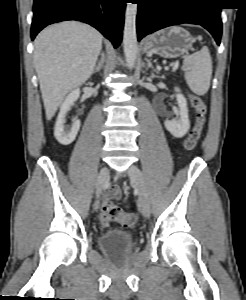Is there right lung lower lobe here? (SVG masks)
I'll use <instances>...</instances> for the list:
<instances>
[{
	"instance_id": "98d812e1",
	"label": "right lung lower lobe",
	"mask_w": 246,
	"mask_h": 300,
	"mask_svg": "<svg viewBox=\"0 0 246 300\" xmlns=\"http://www.w3.org/2000/svg\"><path fill=\"white\" fill-rule=\"evenodd\" d=\"M126 0H34L31 39L49 24L78 20L98 29L118 47Z\"/></svg>"
}]
</instances>
